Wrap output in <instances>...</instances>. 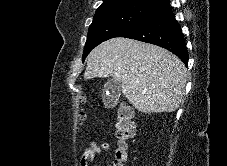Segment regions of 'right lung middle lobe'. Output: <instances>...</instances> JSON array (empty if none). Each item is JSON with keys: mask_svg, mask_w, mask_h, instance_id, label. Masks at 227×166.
I'll list each match as a JSON object with an SVG mask.
<instances>
[{"mask_svg": "<svg viewBox=\"0 0 227 166\" xmlns=\"http://www.w3.org/2000/svg\"><path fill=\"white\" fill-rule=\"evenodd\" d=\"M157 8L152 5L126 3L98 9L89 27L83 60L94 47L117 37L152 14Z\"/></svg>", "mask_w": 227, "mask_h": 166, "instance_id": "dd1d6c3e", "label": "right lung middle lobe"}]
</instances>
